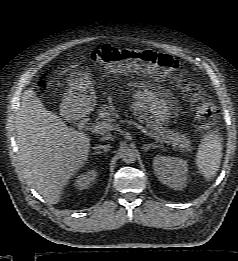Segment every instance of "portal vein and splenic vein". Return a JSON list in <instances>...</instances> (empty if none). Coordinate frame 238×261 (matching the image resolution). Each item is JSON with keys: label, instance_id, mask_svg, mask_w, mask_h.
I'll return each instance as SVG.
<instances>
[{"label": "portal vein and splenic vein", "instance_id": "1", "mask_svg": "<svg viewBox=\"0 0 238 261\" xmlns=\"http://www.w3.org/2000/svg\"><path fill=\"white\" fill-rule=\"evenodd\" d=\"M124 123L130 124V125H134L136 128H138L141 132H143L145 135L153 138V139H157L153 133H151L150 131H148L144 126L140 125L139 123L132 121V120H125L123 121ZM92 131L96 134H105L109 131L114 130V125L112 123L109 122H97L94 125H92L91 127ZM158 140V139H157Z\"/></svg>", "mask_w": 238, "mask_h": 261}]
</instances>
